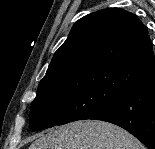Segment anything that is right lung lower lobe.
<instances>
[{"label": "right lung lower lobe", "mask_w": 155, "mask_h": 149, "mask_svg": "<svg viewBox=\"0 0 155 149\" xmlns=\"http://www.w3.org/2000/svg\"><path fill=\"white\" fill-rule=\"evenodd\" d=\"M89 119L118 125L155 149V76L130 89Z\"/></svg>", "instance_id": "98d812e1"}]
</instances>
